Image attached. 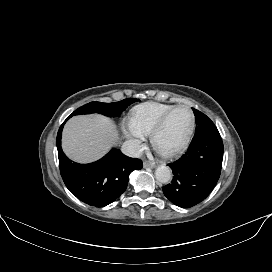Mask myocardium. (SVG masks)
<instances>
[{"label": "myocardium", "instance_id": "1", "mask_svg": "<svg viewBox=\"0 0 272 272\" xmlns=\"http://www.w3.org/2000/svg\"><path fill=\"white\" fill-rule=\"evenodd\" d=\"M179 109L187 110L191 116V124H190L189 131L187 133V136L185 137L184 141L178 147H176L172 150H169V151H158L155 148V139L159 135V133L162 131V129L164 128L169 117L175 111H177ZM195 127H196V118H195V114H194L193 110L187 105H177V106L173 107L171 110H169L168 112H166L159 119V121L157 122V124L155 125V127L153 128V130L151 131V133L149 135L150 145H151L152 149L161 157L170 158V157L176 156V155L180 154L181 152H183L189 146V144L192 140V137L194 135Z\"/></svg>", "mask_w": 272, "mask_h": 272}]
</instances>
